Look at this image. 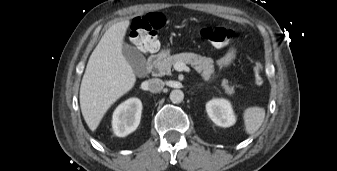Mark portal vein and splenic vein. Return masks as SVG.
<instances>
[{"label":"portal vein and splenic vein","instance_id":"obj_1","mask_svg":"<svg viewBox=\"0 0 337 171\" xmlns=\"http://www.w3.org/2000/svg\"><path fill=\"white\" fill-rule=\"evenodd\" d=\"M174 69L177 70V71H186V72H189L190 71V68L188 66H186L185 63L183 62H177L174 64Z\"/></svg>","mask_w":337,"mask_h":171}]
</instances>
